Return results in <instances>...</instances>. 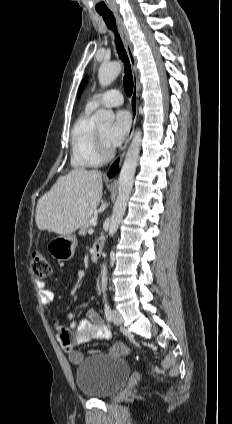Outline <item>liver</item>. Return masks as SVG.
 I'll return each instance as SVG.
<instances>
[{
  "label": "liver",
  "instance_id": "obj_1",
  "mask_svg": "<svg viewBox=\"0 0 232 424\" xmlns=\"http://www.w3.org/2000/svg\"><path fill=\"white\" fill-rule=\"evenodd\" d=\"M102 190L100 171L76 168L59 177L50 191L38 200L35 216L38 229L60 235L72 234L93 215Z\"/></svg>",
  "mask_w": 232,
  "mask_h": 424
}]
</instances>
